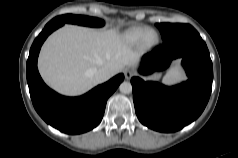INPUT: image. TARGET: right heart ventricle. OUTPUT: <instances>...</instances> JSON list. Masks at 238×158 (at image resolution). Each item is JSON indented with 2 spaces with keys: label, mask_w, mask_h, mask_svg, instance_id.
<instances>
[{
  "label": "right heart ventricle",
  "mask_w": 238,
  "mask_h": 158,
  "mask_svg": "<svg viewBox=\"0 0 238 158\" xmlns=\"http://www.w3.org/2000/svg\"><path fill=\"white\" fill-rule=\"evenodd\" d=\"M147 30L146 27H134L129 29L124 34V40L129 44H137L140 42L143 34Z\"/></svg>",
  "instance_id": "obj_1"
}]
</instances>
